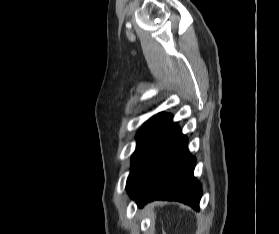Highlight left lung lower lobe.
I'll use <instances>...</instances> for the list:
<instances>
[{
  "mask_svg": "<svg viewBox=\"0 0 279 234\" xmlns=\"http://www.w3.org/2000/svg\"><path fill=\"white\" fill-rule=\"evenodd\" d=\"M159 113L151 122L135 154L127 192L139 207L154 200H176L199 210L201 185L193 176L195 158L187 137Z\"/></svg>",
  "mask_w": 279,
  "mask_h": 234,
  "instance_id": "left-lung-lower-lobe-1",
  "label": "left lung lower lobe"
}]
</instances>
